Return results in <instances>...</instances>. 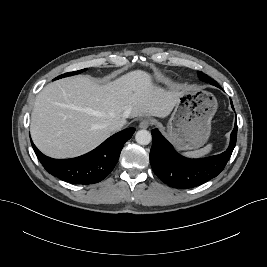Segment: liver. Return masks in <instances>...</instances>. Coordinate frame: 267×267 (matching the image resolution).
I'll use <instances>...</instances> for the list:
<instances>
[{
    "label": "liver",
    "mask_w": 267,
    "mask_h": 267,
    "mask_svg": "<svg viewBox=\"0 0 267 267\" xmlns=\"http://www.w3.org/2000/svg\"><path fill=\"white\" fill-rule=\"evenodd\" d=\"M182 90H165L143 70L105 85L88 76L64 78L37 95L30 132L37 148L53 158L80 156L107 139L108 125L140 116L167 117Z\"/></svg>",
    "instance_id": "liver-1"
}]
</instances>
